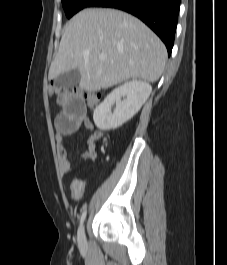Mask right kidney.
Returning <instances> with one entry per match:
<instances>
[{"mask_svg": "<svg viewBox=\"0 0 227 265\" xmlns=\"http://www.w3.org/2000/svg\"><path fill=\"white\" fill-rule=\"evenodd\" d=\"M151 91V85L140 80L126 82L114 89L94 110L93 120L96 127L108 131L122 126L140 110ZM122 96L126 97L123 101ZM114 103L116 108L111 113Z\"/></svg>", "mask_w": 227, "mask_h": 265, "instance_id": "obj_1", "label": "right kidney"}]
</instances>
